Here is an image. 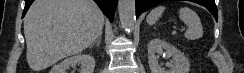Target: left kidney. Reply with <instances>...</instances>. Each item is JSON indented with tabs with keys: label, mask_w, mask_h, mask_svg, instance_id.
<instances>
[{
	"label": "left kidney",
	"mask_w": 244,
	"mask_h": 73,
	"mask_svg": "<svg viewBox=\"0 0 244 73\" xmlns=\"http://www.w3.org/2000/svg\"><path fill=\"white\" fill-rule=\"evenodd\" d=\"M172 57V61L167 64L168 70H165L158 62L157 54ZM148 64L152 73H189L190 62L188 58L175 46L161 39H153L148 44Z\"/></svg>",
	"instance_id": "left-kidney-1"
}]
</instances>
